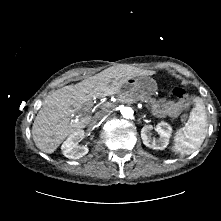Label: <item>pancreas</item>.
Listing matches in <instances>:
<instances>
[{"label": "pancreas", "instance_id": "pancreas-1", "mask_svg": "<svg viewBox=\"0 0 221 221\" xmlns=\"http://www.w3.org/2000/svg\"><path fill=\"white\" fill-rule=\"evenodd\" d=\"M122 99L127 100L129 102H135L138 100H141L145 103L148 104H153L154 103V99H152L150 96L148 95H144V96H134L132 93L127 94L126 96H121Z\"/></svg>", "mask_w": 221, "mask_h": 221}]
</instances>
